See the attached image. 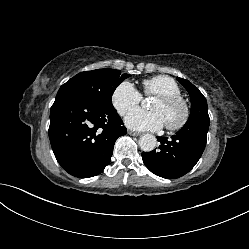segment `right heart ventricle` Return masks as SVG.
Listing matches in <instances>:
<instances>
[{
	"label": "right heart ventricle",
	"instance_id": "obj_1",
	"mask_svg": "<svg viewBox=\"0 0 249 249\" xmlns=\"http://www.w3.org/2000/svg\"><path fill=\"white\" fill-rule=\"evenodd\" d=\"M142 88L146 96L181 95L178 83L166 75H158L143 80Z\"/></svg>",
	"mask_w": 249,
	"mask_h": 249
}]
</instances>
